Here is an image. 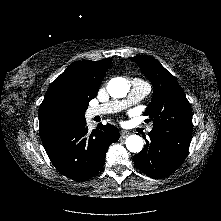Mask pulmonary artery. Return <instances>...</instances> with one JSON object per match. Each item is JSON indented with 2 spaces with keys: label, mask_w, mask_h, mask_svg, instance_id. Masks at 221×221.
Returning a JSON list of instances; mask_svg holds the SVG:
<instances>
[{
  "label": "pulmonary artery",
  "mask_w": 221,
  "mask_h": 221,
  "mask_svg": "<svg viewBox=\"0 0 221 221\" xmlns=\"http://www.w3.org/2000/svg\"><path fill=\"white\" fill-rule=\"evenodd\" d=\"M150 91V87L147 83L135 79L132 81L131 90L126 100L111 101L97 107H92L88 110L89 117H95L102 114L113 113L120 111L130 104H134L142 100ZM152 127L149 126L147 131L150 132Z\"/></svg>",
  "instance_id": "pulmonary-artery-1"
}]
</instances>
